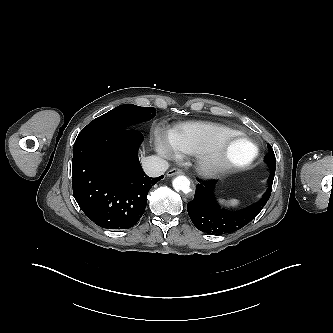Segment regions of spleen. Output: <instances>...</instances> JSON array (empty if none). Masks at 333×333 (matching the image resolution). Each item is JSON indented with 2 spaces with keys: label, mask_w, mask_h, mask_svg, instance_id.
<instances>
[{
  "label": "spleen",
  "mask_w": 333,
  "mask_h": 333,
  "mask_svg": "<svg viewBox=\"0 0 333 333\" xmlns=\"http://www.w3.org/2000/svg\"><path fill=\"white\" fill-rule=\"evenodd\" d=\"M220 202L225 203L226 205H229V206H233V207L237 206L240 203V201L238 199H231L228 201L220 200Z\"/></svg>",
  "instance_id": "spleen-1"
}]
</instances>
